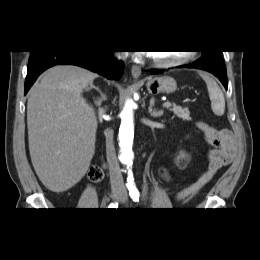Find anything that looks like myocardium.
Listing matches in <instances>:
<instances>
[{"label": "myocardium", "mask_w": 260, "mask_h": 260, "mask_svg": "<svg viewBox=\"0 0 260 260\" xmlns=\"http://www.w3.org/2000/svg\"><path fill=\"white\" fill-rule=\"evenodd\" d=\"M192 58H193V52H186L175 59L166 60V61L159 60V59L155 58L154 56L150 55V60H151L152 64L159 68L177 67V66L187 63Z\"/></svg>", "instance_id": "f54148a6"}]
</instances>
